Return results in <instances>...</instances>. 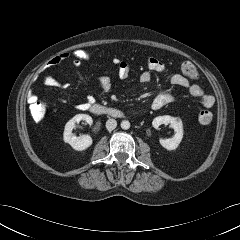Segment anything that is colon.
<instances>
[{"instance_id": "5ec220e1", "label": "colon", "mask_w": 240, "mask_h": 240, "mask_svg": "<svg viewBox=\"0 0 240 240\" xmlns=\"http://www.w3.org/2000/svg\"><path fill=\"white\" fill-rule=\"evenodd\" d=\"M68 60L78 67L84 62L92 58V54L84 48H77L66 53ZM181 70L189 79L197 78V70L190 62H184L181 65ZM30 114L35 121H41L46 113V105L40 101L30 102ZM213 115L209 110H202L198 114V121L201 125H209L212 122Z\"/></svg>"}]
</instances>
